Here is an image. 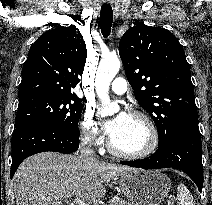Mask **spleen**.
Instances as JSON below:
<instances>
[{
    "mask_svg": "<svg viewBox=\"0 0 212 205\" xmlns=\"http://www.w3.org/2000/svg\"><path fill=\"white\" fill-rule=\"evenodd\" d=\"M177 198L181 205H195L193 196L184 184H179L177 188Z\"/></svg>",
    "mask_w": 212,
    "mask_h": 205,
    "instance_id": "1",
    "label": "spleen"
}]
</instances>
